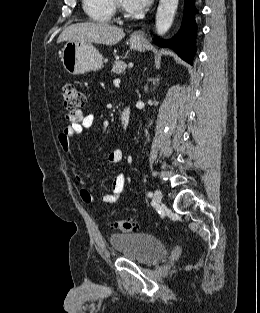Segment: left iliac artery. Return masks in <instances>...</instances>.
<instances>
[{
	"label": "left iliac artery",
	"mask_w": 260,
	"mask_h": 313,
	"mask_svg": "<svg viewBox=\"0 0 260 313\" xmlns=\"http://www.w3.org/2000/svg\"><path fill=\"white\" fill-rule=\"evenodd\" d=\"M147 195H148L149 197H152V196H153L152 192H148Z\"/></svg>",
	"instance_id": "left-iliac-artery-1"
}]
</instances>
